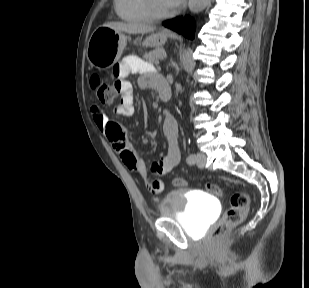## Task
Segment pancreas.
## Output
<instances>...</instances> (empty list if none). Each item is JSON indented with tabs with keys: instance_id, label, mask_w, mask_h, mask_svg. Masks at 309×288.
Returning <instances> with one entry per match:
<instances>
[{
	"instance_id": "1",
	"label": "pancreas",
	"mask_w": 309,
	"mask_h": 288,
	"mask_svg": "<svg viewBox=\"0 0 309 288\" xmlns=\"http://www.w3.org/2000/svg\"><path fill=\"white\" fill-rule=\"evenodd\" d=\"M164 50L161 48L155 49L143 55V59L152 64H158L159 60L163 57Z\"/></svg>"
}]
</instances>
